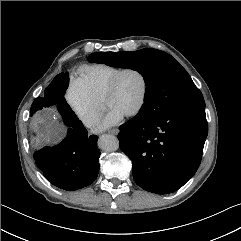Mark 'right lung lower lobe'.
<instances>
[{"label": "right lung lower lobe", "mask_w": 241, "mask_h": 241, "mask_svg": "<svg viewBox=\"0 0 241 241\" xmlns=\"http://www.w3.org/2000/svg\"><path fill=\"white\" fill-rule=\"evenodd\" d=\"M67 126L69 130L63 141L53 147H44L34 154V159L50 183L72 191L95 181L101 153L97 147L98 136H88L83 124L69 123Z\"/></svg>", "instance_id": "right-lung-lower-lobe-1"}]
</instances>
